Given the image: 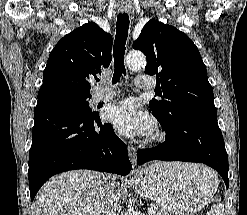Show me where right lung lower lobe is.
Masks as SVG:
<instances>
[{
	"label": "right lung lower lobe",
	"mask_w": 247,
	"mask_h": 215,
	"mask_svg": "<svg viewBox=\"0 0 247 215\" xmlns=\"http://www.w3.org/2000/svg\"><path fill=\"white\" fill-rule=\"evenodd\" d=\"M29 151L31 200L53 175L90 169L127 175L132 165L126 145L99 114H84L46 96H38Z\"/></svg>",
	"instance_id": "obj_1"
}]
</instances>
